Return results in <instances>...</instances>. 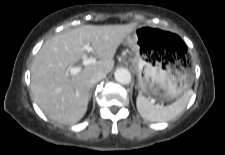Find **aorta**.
Segmentation results:
<instances>
[{
	"instance_id": "obj_1",
	"label": "aorta",
	"mask_w": 225,
	"mask_h": 155,
	"mask_svg": "<svg viewBox=\"0 0 225 155\" xmlns=\"http://www.w3.org/2000/svg\"><path fill=\"white\" fill-rule=\"evenodd\" d=\"M115 80L120 84L127 85L131 82V74L125 68H118L114 73Z\"/></svg>"
}]
</instances>
